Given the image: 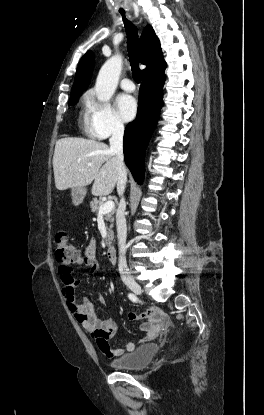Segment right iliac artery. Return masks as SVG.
<instances>
[{"instance_id":"82829eb1","label":"right iliac artery","mask_w":264,"mask_h":415,"mask_svg":"<svg viewBox=\"0 0 264 415\" xmlns=\"http://www.w3.org/2000/svg\"><path fill=\"white\" fill-rule=\"evenodd\" d=\"M128 298L133 301V302H137L138 298L133 294V293H129L128 294Z\"/></svg>"}]
</instances>
